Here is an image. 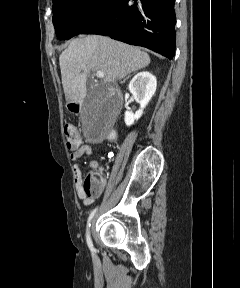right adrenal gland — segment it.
Masks as SVG:
<instances>
[{
    "label": "right adrenal gland",
    "instance_id": "obj_1",
    "mask_svg": "<svg viewBox=\"0 0 240 288\" xmlns=\"http://www.w3.org/2000/svg\"><path fill=\"white\" fill-rule=\"evenodd\" d=\"M130 75H128L124 80L123 82H125L127 79H129Z\"/></svg>",
    "mask_w": 240,
    "mask_h": 288
}]
</instances>
